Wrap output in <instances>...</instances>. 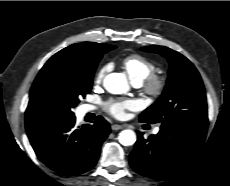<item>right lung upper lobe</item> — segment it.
I'll use <instances>...</instances> for the list:
<instances>
[{"label":"right lung upper lobe","mask_w":230,"mask_h":186,"mask_svg":"<svg viewBox=\"0 0 230 186\" xmlns=\"http://www.w3.org/2000/svg\"><path fill=\"white\" fill-rule=\"evenodd\" d=\"M103 45L105 44L92 42L73 44L59 51L47 61L37 75L30 90V100L25 112V124L27 131L33 130L47 122L57 120L44 98L41 87L42 77L47 68L60 61L90 59Z\"/></svg>","instance_id":"right-lung-upper-lobe-1"}]
</instances>
